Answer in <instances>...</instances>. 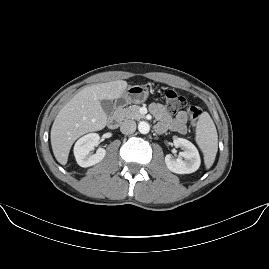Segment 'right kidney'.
Segmentation results:
<instances>
[{
    "label": "right kidney",
    "instance_id": "1",
    "mask_svg": "<svg viewBox=\"0 0 269 269\" xmlns=\"http://www.w3.org/2000/svg\"><path fill=\"white\" fill-rule=\"evenodd\" d=\"M98 141L99 135L97 133H88L75 142L73 153L79 166L88 167L104 158L105 150L103 148H98L95 153H90Z\"/></svg>",
    "mask_w": 269,
    "mask_h": 269
}]
</instances>
